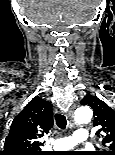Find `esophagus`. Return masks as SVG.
<instances>
[{
	"label": "esophagus",
	"mask_w": 115,
	"mask_h": 155,
	"mask_svg": "<svg viewBox=\"0 0 115 155\" xmlns=\"http://www.w3.org/2000/svg\"><path fill=\"white\" fill-rule=\"evenodd\" d=\"M67 118L69 119L70 122L73 121V118H74V107H72L68 113H67Z\"/></svg>",
	"instance_id": "obj_1"
}]
</instances>
